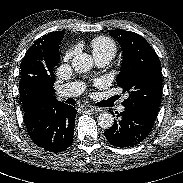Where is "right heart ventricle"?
Here are the masks:
<instances>
[{
    "label": "right heart ventricle",
    "instance_id": "1",
    "mask_svg": "<svg viewBox=\"0 0 183 183\" xmlns=\"http://www.w3.org/2000/svg\"><path fill=\"white\" fill-rule=\"evenodd\" d=\"M90 47L94 57L112 59L117 53L116 42L108 36H97L90 42Z\"/></svg>",
    "mask_w": 183,
    "mask_h": 183
}]
</instances>
